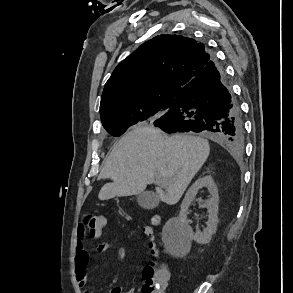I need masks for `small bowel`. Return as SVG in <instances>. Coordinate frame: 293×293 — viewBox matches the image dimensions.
<instances>
[{"label":"small bowel","mask_w":293,"mask_h":293,"mask_svg":"<svg viewBox=\"0 0 293 293\" xmlns=\"http://www.w3.org/2000/svg\"><path fill=\"white\" fill-rule=\"evenodd\" d=\"M97 253L113 252L119 260H123L126 257L127 251L122 244L105 240L99 243L96 247ZM90 264V252L86 246V237L83 234L82 228L79 226L76 237V247L74 255V270L76 273V279L81 287L87 285V270ZM84 293H93L90 290L84 291ZM111 293H136L134 288L124 290L120 286H115Z\"/></svg>","instance_id":"small-bowel-1"}]
</instances>
